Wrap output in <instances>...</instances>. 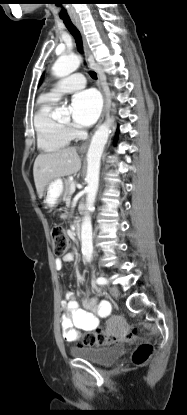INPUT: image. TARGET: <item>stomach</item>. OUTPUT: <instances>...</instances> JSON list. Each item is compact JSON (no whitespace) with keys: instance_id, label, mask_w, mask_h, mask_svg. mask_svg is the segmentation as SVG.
Listing matches in <instances>:
<instances>
[{"instance_id":"obj_1","label":"stomach","mask_w":187,"mask_h":415,"mask_svg":"<svg viewBox=\"0 0 187 415\" xmlns=\"http://www.w3.org/2000/svg\"><path fill=\"white\" fill-rule=\"evenodd\" d=\"M63 181L60 178L51 180L44 189L41 197L42 205L45 209H52L60 202L63 193Z\"/></svg>"}]
</instances>
